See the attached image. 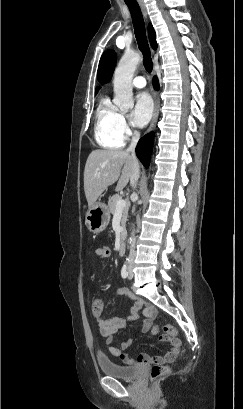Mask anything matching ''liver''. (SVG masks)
Listing matches in <instances>:
<instances>
[{"mask_svg": "<svg viewBox=\"0 0 243 409\" xmlns=\"http://www.w3.org/2000/svg\"><path fill=\"white\" fill-rule=\"evenodd\" d=\"M136 169H139V163L135 162L127 151L93 150L87 158L84 170V191L88 206L95 204L108 186L116 181L118 183L115 190L121 191Z\"/></svg>", "mask_w": 243, "mask_h": 409, "instance_id": "liver-1", "label": "liver"}]
</instances>
